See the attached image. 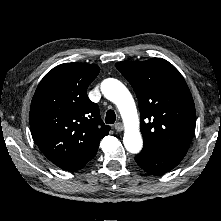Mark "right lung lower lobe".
Segmentation results:
<instances>
[{
  "mask_svg": "<svg viewBox=\"0 0 221 221\" xmlns=\"http://www.w3.org/2000/svg\"><path fill=\"white\" fill-rule=\"evenodd\" d=\"M95 155H96V152L91 157H89L88 159L83 161L81 164H79L78 166L71 168V169H67V171H76V170L82 169L88 161H90L91 159H93L95 157Z\"/></svg>",
  "mask_w": 221,
  "mask_h": 221,
  "instance_id": "obj_1",
  "label": "right lung lower lobe"
}]
</instances>
